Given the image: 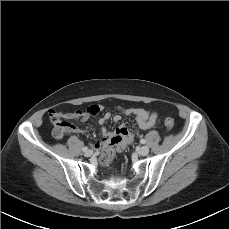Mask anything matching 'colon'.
<instances>
[{
    "label": "colon",
    "instance_id": "obj_1",
    "mask_svg": "<svg viewBox=\"0 0 229 229\" xmlns=\"http://www.w3.org/2000/svg\"><path fill=\"white\" fill-rule=\"evenodd\" d=\"M100 108L98 105H91L85 111L88 115H96L99 112ZM50 121L54 126V135L56 137H61L64 133L69 129L70 124L64 120L59 114L55 112L50 113ZM164 125L167 129H172L175 125L174 120L172 118H166L164 120ZM123 137L117 135L113 137L111 140V144L103 153L101 160L103 163L108 164L110 163L118 150L122 147ZM127 144V143H126Z\"/></svg>",
    "mask_w": 229,
    "mask_h": 229
}]
</instances>
